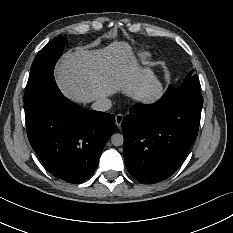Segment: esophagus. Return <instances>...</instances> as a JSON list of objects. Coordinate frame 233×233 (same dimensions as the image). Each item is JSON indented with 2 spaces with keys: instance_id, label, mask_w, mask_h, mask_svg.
<instances>
[{
  "instance_id": "esophagus-1",
  "label": "esophagus",
  "mask_w": 233,
  "mask_h": 233,
  "mask_svg": "<svg viewBox=\"0 0 233 233\" xmlns=\"http://www.w3.org/2000/svg\"><path fill=\"white\" fill-rule=\"evenodd\" d=\"M122 120H123V115L122 114H117L115 116V124H116L117 127L121 126Z\"/></svg>"
}]
</instances>
